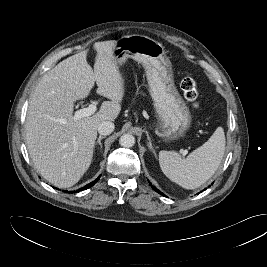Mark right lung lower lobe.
I'll return each instance as SVG.
<instances>
[{
    "label": "right lung lower lobe",
    "instance_id": "1",
    "mask_svg": "<svg viewBox=\"0 0 267 267\" xmlns=\"http://www.w3.org/2000/svg\"><path fill=\"white\" fill-rule=\"evenodd\" d=\"M99 178H100V176H99L95 181H93V182L87 184L86 186H84V187L81 188L80 190H86V189L92 187V186L96 183V181L99 180ZM80 190H78L77 192H79ZM65 192H67V191H65ZM73 192H75V191H71V193H73ZM69 193H70V192H69Z\"/></svg>",
    "mask_w": 267,
    "mask_h": 267
}]
</instances>
